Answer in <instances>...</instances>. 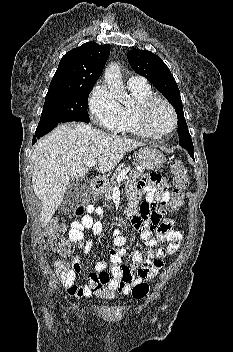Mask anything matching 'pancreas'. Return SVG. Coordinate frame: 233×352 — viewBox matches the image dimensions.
I'll use <instances>...</instances> for the list:
<instances>
[{"mask_svg":"<svg viewBox=\"0 0 233 352\" xmlns=\"http://www.w3.org/2000/svg\"><path fill=\"white\" fill-rule=\"evenodd\" d=\"M133 165H134V168L130 170L129 175H128V179L130 181H135L136 179H141L143 177V170L140 167H138L136 164H133ZM123 168H124V165H120L116 169L113 177L110 180L105 181V183H104V188H105L104 189V197L107 200L111 199L114 187L119 185V182L116 180V178L122 172Z\"/></svg>","mask_w":233,"mask_h":352,"instance_id":"cf45deb5","label":"pancreas"}]
</instances>
